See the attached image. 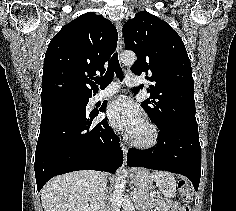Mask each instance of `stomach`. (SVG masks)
<instances>
[{
    "instance_id": "obj_1",
    "label": "stomach",
    "mask_w": 236,
    "mask_h": 211,
    "mask_svg": "<svg viewBox=\"0 0 236 211\" xmlns=\"http://www.w3.org/2000/svg\"><path fill=\"white\" fill-rule=\"evenodd\" d=\"M131 179L138 189L144 190L148 195L153 192L154 185L147 170L135 168L131 172Z\"/></svg>"
}]
</instances>
